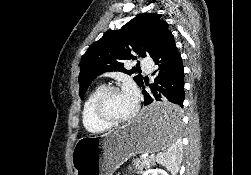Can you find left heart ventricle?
Here are the masks:
<instances>
[{"mask_svg":"<svg viewBox=\"0 0 251 175\" xmlns=\"http://www.w3.org/2000/svg\"><path fill=\"white\" fill-rule=\"evenodd\" d=\"M105 111L113 118H120L130 114L134 107L128 102L122 90L111 92L104 103Z\"/></svg>","mask_w":251,"mask_h":175,"instance_id":"left-heart-ventricle-1","label":"left heart ventricle"}]
</instances>
